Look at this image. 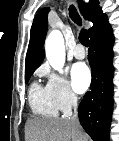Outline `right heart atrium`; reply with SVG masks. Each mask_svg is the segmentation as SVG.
<instances>
[{
	"label": "right heart atrium",
	"instance_id": "d8ad5b80",
	"mask_svg": "<svg viewBox=\"0 0 119 141\" xmlns=\"http://www.w3.org/2000/svg\"><path fill=\"white\" fill-rule=\"evenodd\" d=\"M40 73L46 76V87L60 111L66 112L76 105L78 98L64 76L51 72L47 67H43Z\"/></svg>",
	"mask_w": 119,
	"mask_h": 141
}]
</instances>
